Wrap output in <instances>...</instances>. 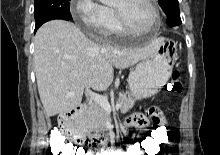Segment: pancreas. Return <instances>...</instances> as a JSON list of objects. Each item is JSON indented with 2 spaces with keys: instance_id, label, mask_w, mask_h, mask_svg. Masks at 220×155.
<instances>
[{
  "instance_id": "1",
  "label": "pancreas",
  "mask_w": 220,
  "mask_h": 155,
  "mask_svg": "<svg viewBox=\"0 0 220 155\" xmlns=\"http://www.w3.org/2000/svg\"><path fill=\"white\" fill-rule=\"evenodd\" d=\"M117 103L121 104V112L126 113L129 111L134 103L135 99L132 96L119 93ZM107 112L98 103H90L82 119V125L89 130H102L105 126Z\"/></svg>"
}]
</instances>
